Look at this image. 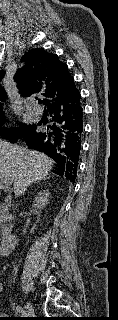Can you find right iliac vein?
Masks as SVG:
<instances>
[{
	"mask_svg": "<svg viewBox=\"0 0 118 320\" xmlns=\"http://www.w3.org/2000/svg\"><path fill=\"white\" fill-rule=\"evenodd\" d=\"M33 312H34V310H33V305H32L30 302H28V303L26 304V314H27L28 316H30V315L33 314Z\"/></svg>",
	"mask_w": 118,
	"mask_h": 320,
	"instance_id": "63e3f726",
	"label": "right iliac vein"
}]
</instances>
